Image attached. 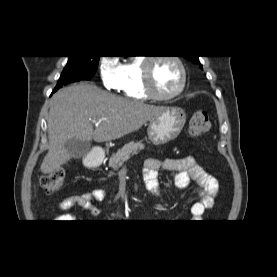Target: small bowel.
Returning <instances> with one entry per match:
<instances>
[{
  "instance_id": "obj_1",
  "label": "small bowel",
  "mask_w": 277,
  "mask_h": 277,
  "mask_svg": "<svg viewBox=\"0 0 277 277\" xmlns=\"http://www.w3.org/2000/svg\"><path fill=\"white\" fill-rule=\"evenodd\" d=\"M161 168L176 173L175 185L179 189L187 188L192 182L199 187V200L191 207L193 218L200 219L205 210L214 205L220 189L219 182L215 177L208 174L193 156L169 158L164 161L156 158L146 160L143 178L148 190L155 195L159 194L158 171ZM107 196V192L101 188L74 194L60 203V209L66 211L74 206H80L89 211L92 217H96L99 215V209L95 204L104 201ZM56 219L61 220L59 222H69L66 220L73 219V216L61 214Z\"/></svg>"
}]
</instances>
